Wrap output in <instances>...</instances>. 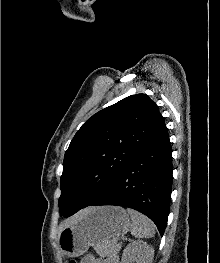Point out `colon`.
Returning a JSON list of instances; mask_svg holds the SVG:
<instances>
[{"mask_svg": "<svg viewBox=\"0 0 220 263\" xmlns=\"http://www.w3.org/2000/svg\"><path fill=\"white\" fill-rule=\"evenodd\" d=\"M69 263H77L75 260H71L69 261Z\"/></svg>", "mask_w": 220, "mask_h": 263, "instance_id": "1", "label": "colon"}]
</instances>
